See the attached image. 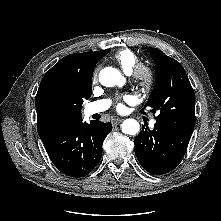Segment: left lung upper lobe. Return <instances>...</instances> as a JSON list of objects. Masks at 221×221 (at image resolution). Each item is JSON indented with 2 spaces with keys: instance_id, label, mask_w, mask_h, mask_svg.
I'll return each mask as SVG.
<instances>
[{
  "instance_id": "obj_1",
  "label": "left lung upper lobe",
  "mask_w": 221,
  "mask_h": 221,
  "mask_svg": "<svg viewBox=\"0 0 221 221\" xmlns=\"http://www.w3.org/2000/svg\"><path fill=\"white\" fill-rule=\"evenodd\" d=\"M149 51L156 66V83L145 107L159 113L156 117L159 126L192 134L195 126V94L184 68L159 49Z\"/></svg>"
}]
</instances>
